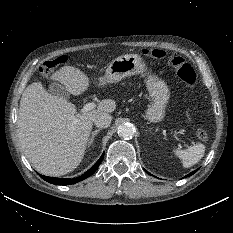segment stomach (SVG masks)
<instances>
[{"instance_id":"stomach-1","label":"stomach","mask_w":233,"mask_h":233,"mask_svg":"<svg viewBox=\"0 0 233 233\" xmlns=\"http://www.w3.org/2000/svg\"><path fill=\"white\" fill-rule=\"evenodd\" d=\"M146 71V64L138 54L121 55L113 59L104 76L100 77L107 83H116L127 76L142 74ZM146 87L149 92L150 103L146 109L148 121L157 123L165 117V110L170 98L168 85L154 75H149L146 79Z\"/></svg>"}]
</instances>
